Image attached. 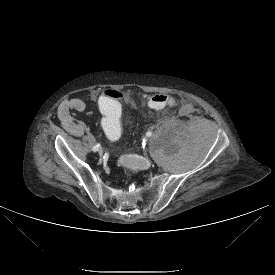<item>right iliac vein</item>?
Instances as JSON below:
<instances>
[{"mask_svg": "<svg viewBox=\"0 0 275 275\" xmlns=\"http://www.w3.org/2000/svg\"><path fill=\"white\" fill-rule=\"evenodd\" d=\"M97 151H98L99 155L103 154V150L101 148H99Z\"/></svg>", "mask_w": 275, "mask_h": 275, "instance_id": "right-iliac-vein-1", "label": "right iliac vein"}]
</instances>
